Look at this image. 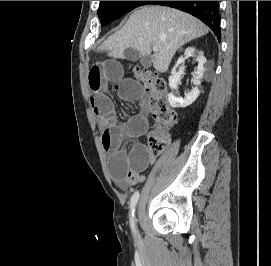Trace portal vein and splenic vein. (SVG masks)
Wrapping results in <instances>:
<instances>
[{"instance_id": "obj_1", "label": "portal vein and splenic vein", "mask_w": 271, "mask_h": 266, "mask_svg": "<svg viewBox=\"0 0 271 266\" xmlns=\"http://www.w3.org/2000/svg\"><path fill=\"white\" fill-rule=\"evenodd\" d=\"M153 51L157 52L158 51V47L157 46H153Z\"/></svg>"}]
</instances>
